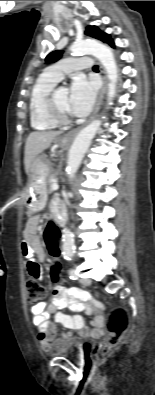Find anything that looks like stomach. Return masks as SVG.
I'll return each mask as SVG.
<instances>
[{"label": "stomach", "instance_id": "0dacf381", "mask_svg": "<svg viewBox=\"0 0 155 395\" xmlns=\"http://www.w3.org/2000/svg\"><path fill=\"white\" fill-rule=\"evenodd\" d=\"M58 142L62 146L68 144L65 138H60ZM50 173L51 166L49 163L43 161L40 157L34 160L29 175V183L25 190L26 206L33 213L42 210L46 204V181Z\"/></svg>", "mask_w": 155, "mask_h": 395}]
</instances>
